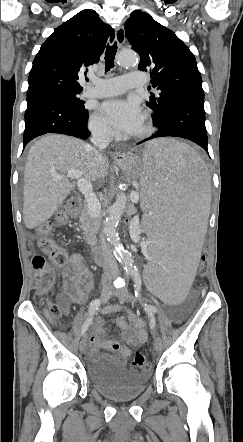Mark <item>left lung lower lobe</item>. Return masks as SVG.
Listing matches in <instances>:
<instances>
[{
    "instance_id": "0a47b994",
    "label": "left lung lower lobe",
    "mask_w": 243,
    "mask_h": 442,
    "mask_svg": "<svg viewBox=\"0 0 243 442\" xmlns=\"http://www.w3.org/2000/svg\"><path fill=\"white\" fill-rule=\"evenodd\" d=\"M153 124L158 131L138 144L158 137H181L195 142L208 153L203 90L178 92L169 100L163 114L153 119Z\"/></svg>"
}]
</instances>
